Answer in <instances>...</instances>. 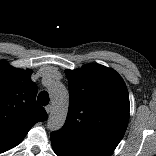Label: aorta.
Returning a JSON list of instances; mask_svg holds the SVG:
<instances>
[{"mask_svg":"<svg viewBox=\"0 0 156 156\" xmlns=\"http://www.w3.org/2000/svg\"><path fill=\"white\" fill-rule=\"evenodd\" d=\"M49 96L52 110L47 120V128L50 131H57L63 127L67 117L69 94L63 84L53 83L49 86Z\"/></svg>","mask_w":156,"mask_h":156,"instance_id":"1","label":"aorta"}]
</instances>
